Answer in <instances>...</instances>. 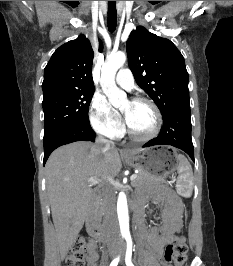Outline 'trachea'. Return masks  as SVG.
<instances>
[{
	"mask_svg": "<svg viewBox=\"0 0 233 266\" xmlns=\"http://www.w3.org/2000/svg\"><path fill=\"white\" fill-rule=\"evenodd\" d=\"M117 26V11L115 1L108 2V29L114 32Z\"/></svg>",
	"mask_w": 233,
	"mask_h": 266,
	"instance_id": "trachea-1",
	"label": "trachea"
}]
</instances>
